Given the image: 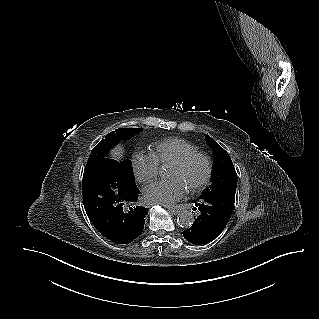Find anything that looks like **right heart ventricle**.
Masks as SVG:
<instances>
[{
  "label": "right heart ventricle",
  "mask_w": 319,
  "mask_h": 319,
  "mask_svg": "<svg viewBox=\"0 0 319 319\" xmlns=\"http://www.w3.org/2000/svg\"><path fill=\"white\" fill-rule=\"evenodd\" d=\"M197 150V147L190 141L180 137H171L155 143L152 146L151 155L159 166H167L183 155Z\"/></svg>",
  "instance_id": "e07e8e85"
}]
</instances>
